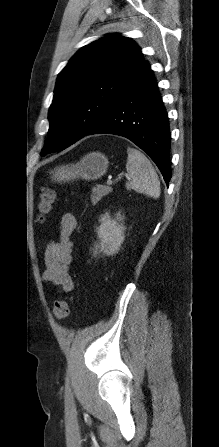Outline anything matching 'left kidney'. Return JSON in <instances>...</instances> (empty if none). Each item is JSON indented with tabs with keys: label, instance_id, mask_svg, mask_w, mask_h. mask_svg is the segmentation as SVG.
I'll return each instance as SVG.
<instances>
[{
	"label": "left kidney",
	"instance_id": "5707ae66",
	"mask_svg": "<svg viewBox=\"0 0 219 447\" xmlns=\"http://www.w3.org/2000/svg\"><path fill=\"white\" fill-rule=\"evenodd\" d=\"M122 219V217L118 216L116 219H111L108 214L101 216L99 220L101 224L97 230V237L100 242L95 245L99 253L113 255L120 249L125 238V228L117 221H121Z\"/></svg>",
	"mask_w": 219,
	"mask_h": 447
}]
</instances>
